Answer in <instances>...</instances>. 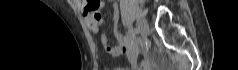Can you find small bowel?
I'll return each mask as SVG.
<instances>
[{"label":"small bowel","instance_id":"small-bowel-1","mask_svg":"<svg viewBox=\"0 0 238 70\" xmlns=\"http://www.w3.org/2000/svg\"><path fill=\"white\" fill-rule=\"evenodd\" d=\"M76 4L82 12L87 27L93 34L99 35L104 49L114 57L124 55L132 60V70H150L151 64L145 59L141 65L138 66L133 57L138 52V45L133 37L122 38L119 32L117 14L114 16L113 34L115 43L110 45L107 36L102 32V18L100 9L103 7L104 2L101 0H76ZM117 9V7H115Z\"/></svg>","mask_w":238,"mask_h":70}]
</instances>
